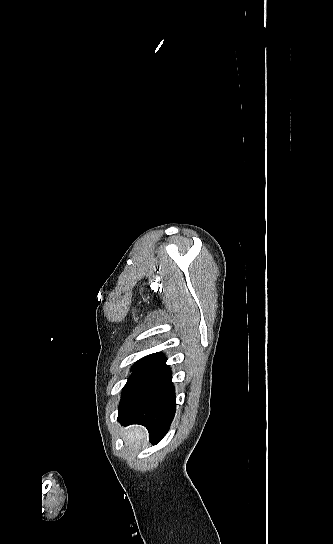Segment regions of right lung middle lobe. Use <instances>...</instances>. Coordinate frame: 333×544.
<instances>
[{"label": "right lung middle lobe", "instance_id": "obj_1", "mask_svg": "<svg viewBox=\"0 0 333 544\" xmlns=\"http://www.w3.org/2000/svg\"><path fill=\"white\" fill-rule=\"evenodd\" d=\"M146 358H147V356H146L145 358H143V359L138 360V361L132 366V368H131V370H132L131 376L136 372V370H137V369L139 368V366L145 361ZM131 376H130V377H131Z\"/></svg>", "mask_w": 333, "mask_h": 544}]
</instances>
